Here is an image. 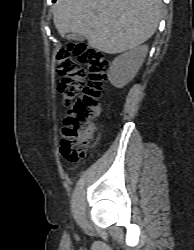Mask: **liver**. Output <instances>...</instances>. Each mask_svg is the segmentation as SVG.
Listing matches in <instances>:
<instances>
[{"instance_id":"1","label":"liver","mask_w":194,"mask_h":250,"mask_svg":"<svg viewBox=\"0 0 194 250\" xmlns=\"http://www.w3.org/2000/svg\"><path fill=\"white\" fill-rule=\"evenodd\" d=\"M161 11L162 0H57L53 21L62 37L81 34L89 46L116 54L147 41Z\"/></svg>"}]
</instances>
